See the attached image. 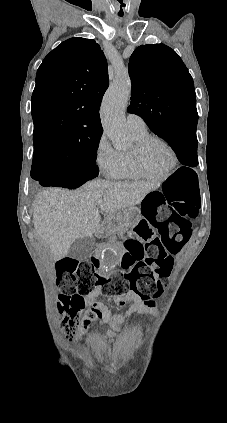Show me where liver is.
Here are the masks:
<instances>
[{"label": "liver", "instance_id": "obj_1", "mask_svg": "<svg viewBox=\"0 0 227 423\" xmlns=\"http://www.w3.org/2000/svg\"><path fill=\"white\" fill-rule=\"evenodd\" d=\"M159 186L156 182L122 184L92 180L74 192L47 188L37 196L34 231L46 241L53 259L58 261L68 255L75 239L104 231L105 221H102L98 208L112 217L124 208L141 204L145 196Z\"/></svg>", "mask_w": 227, "mask_h": 423}]
</instances>
